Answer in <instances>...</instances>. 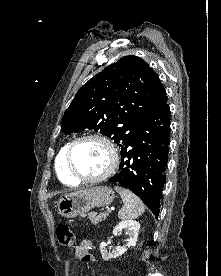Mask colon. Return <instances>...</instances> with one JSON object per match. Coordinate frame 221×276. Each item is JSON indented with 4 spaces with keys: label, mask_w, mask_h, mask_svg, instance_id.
<instances>
[{
    "label": "colon",
    "mask_w": 221,
    "mask_h": 276,
    "mask_svg": "<svg viewBox=\"0 0 221 276\" xmlns=\"http://www.w3.org/2000/svg\"><path fill=\"white\" fill-rule=\"evenodd\" d=\"M57 240L62 247H71L75 242V235L70 225L62 223L56 229Z\"/></svg>",
    "instance_id": "1"
}]
</instances>
